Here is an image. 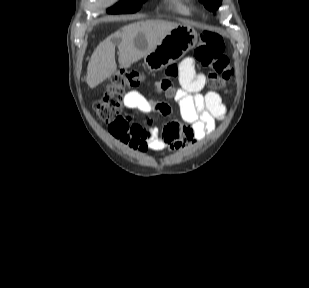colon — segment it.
I'll return each instance as SVG.
<instances>
[{
	"instance_id": "colon-1",
	"label": "colon",
	"mask_w": 309,
	"mask_h": 288,
	"mask_svg": "<svg viewBox=\"0 0 309 288\" xmlns=\"http://www.w3.org/2000/svg\"><path fill=\"white\" fill-rule=\"evenodd\" d=\"M194 59L208 70V85L215 90L226 86L232 76L229 60L224 54V43L222 38L212 32H202L199 43L193 51ZM142 82V77L136 69H119L113 73L106 86L104 96L97 104V114L101 120L106 122L122 121L129 124L133 121L131 114L123 108L122 96L125 88L136 87ZM158 92L167 96H173L169 83L159 82Z\"/></svg>"
}]
</instances>
